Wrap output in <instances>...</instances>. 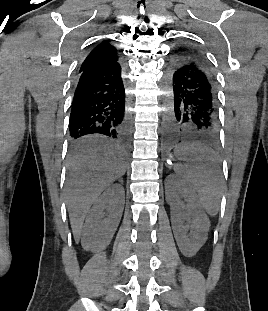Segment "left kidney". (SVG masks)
<instances>
[{"instance_id": "1", "label": "left kidney", "mask_w": 268, "mask_h": 311, "mask_svg": "<svg viewBox=\"0 0 268 311\" xmlns=\"http://www.w3.org/2000/svg\"><path fill=\"white\" fill-rule=\"evenodd\" d=\"M165 194L171 208V224L177 245L184 256L192 257L207 239L208 219L194 188L180 176L171 174L167 177Z\"/></svg>"}]
</instances>
